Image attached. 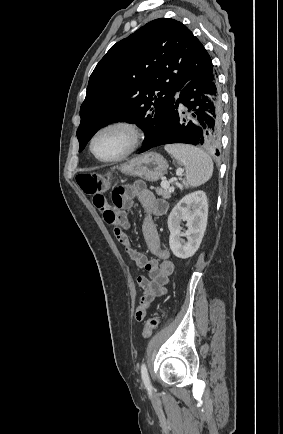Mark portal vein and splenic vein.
<instances>
[{"mask_svg":"<svg viewBox=\"0 0 283 434\" xmlns=\"http://www.w3.org/2000/svg\"><path fill=\"white\" fill-rule=\"evenodd\" d=\"M177 175H179V172H177ZM169 185H170V183L168 181H166V180H164V181L161 182V186L163 188H167V187H169Z\"/></svg>","mask_w":283,"mask_h":434,"instance_id":"1","label":"portal vein and splenic vein"}]
</instances>
